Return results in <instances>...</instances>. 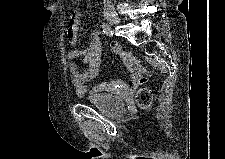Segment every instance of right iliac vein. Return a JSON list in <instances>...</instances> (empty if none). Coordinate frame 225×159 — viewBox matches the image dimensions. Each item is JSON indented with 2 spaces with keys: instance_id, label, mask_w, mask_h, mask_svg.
<instances>
[{
  "instance_id": "right-iliac-vein-1",
  "label": "right iliac vein",
  "mask_w": 225,
  "mask_h": 159,
  "mask_svg": "<svg viewBox=\"0 0 225 159\" xmlns=\"http://www.w3.org/2000/svg\"><path fill=\"white\" fill-rule=\"evenodd\" d=\"M105 17L111 25H119L121 23L118 14L113 9H108L105 12Z\"/></svg>"
}]
</instances>
